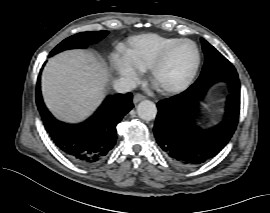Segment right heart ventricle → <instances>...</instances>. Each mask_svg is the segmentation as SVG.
I'll list each match as a JSON object with an SVG mask.
<instances>
[{
  "instance_id": "1",
  "label": "right heart ventricle",
  "mask_w": 270,
  "mask_h": 213,
  "mask_svg": "<svg viewBox=\"0 0 270 213\" xmlns=\"http://www.w3.org/2000/svg\"><path fill=\"white\" fill-rule=\"evenodd\" d=\"M179 40L157 34H144L130 39L122 50L123 60L136 70L148 69L153 60L170 44Z\"/></svg>"
}]
</instances>
